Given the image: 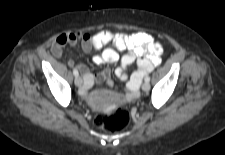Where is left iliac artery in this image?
Masks as SVG:
<instances>
[{"instance_id":"obj_1","label":"left iliac artery","mask_w":225,"mask_h":155,"mask_svg":"<svg viewBox=\"0 0 225 155\" xmlns=\"http://www.w3.org/2000/svg\"><path fill=\"white\" fill-rule=\"evenodd\" d=\"M150 81V77L147 75L146 77H145V82H149Z\"/></svg>"}]
</instances>
